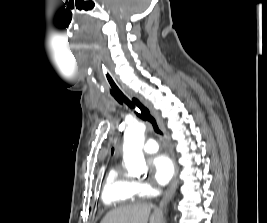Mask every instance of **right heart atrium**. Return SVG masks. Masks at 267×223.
<instances>
[{"instance_id":"obj_1","label":"right heart atrium","mask_w":267,"mask_h":223,"mask_svg":"<svg viewBox=\"0 0 267 223\" xmlns=\"http://www.w3.org/2000/svg\"><path fill=\"white\" fill-rule=\"evenodd\" d=\"M136 185H137L138 192L140 194L149 195L152 193V188L150 185L146 183H142V182L136 183Z\"/></svg>"}]
</instances>
